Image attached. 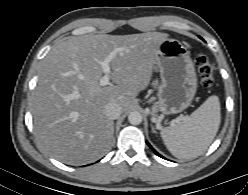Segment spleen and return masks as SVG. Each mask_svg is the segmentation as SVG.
<instances>
[{"label": "spleen", "instance_id": "spleen-1", "mask_svg": "<svg viewBox=\"0 0 248 195\" xmlns=\"http://www.w3.org/2000/svg\"><path fill=\"white\" fill-rule=\"evenodd\" d=\"M220 102L210 96L190 116L161 130L167 149L178 159H193L203 154L216 136L220 121Z\"/></svg>", "mask_w": 248, "mask_h": 195}]
</instances>
